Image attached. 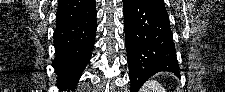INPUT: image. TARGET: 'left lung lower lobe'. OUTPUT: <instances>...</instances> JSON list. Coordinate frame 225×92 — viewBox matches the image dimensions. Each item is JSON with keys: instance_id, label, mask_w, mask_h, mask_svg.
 Returning <instances> with one entry per match:
<instances>
[{"instance_id": "obj_1", "label": "left lung lower lobe", "mask_w": 225, "mask_h": 92, "mask_svg": "<svg viewBox=\"0 0 225 92\" xmlns=\"http://www.w3.org/2000/svg\"><path fill=\"white\" fill-rule=\"evenodd\" d=\"M123 5L130 92H137L156 73L172 72L180 77L165 7L143 0H123Z\"/></svg>"}]
</instances>
